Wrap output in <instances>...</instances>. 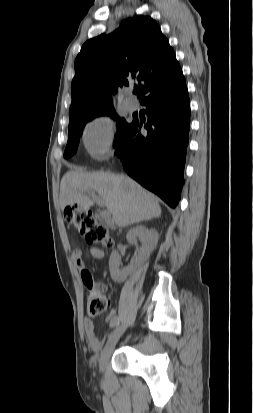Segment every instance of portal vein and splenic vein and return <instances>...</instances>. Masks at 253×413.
<instances>
[{
  "instance_id": "obj_1",
  "label": "portal vein and splenic vein",
  "mask_w": 253,
  "mask_h": 413,
  "mask_svg": "<svg viewBox=\"0 0 253 413\" xmlns=\"http://www.w3.org/2000/svg\"><path fill=\"white\" fill-rule=\"evenodd\" d=\"M89 195L93 198V200L100 206H104V201L102 199H100L98 196L95 195L94 192H89ZM109 213L105 212L104 213V217H108Z\"/></svg>"
}]
</instances>
